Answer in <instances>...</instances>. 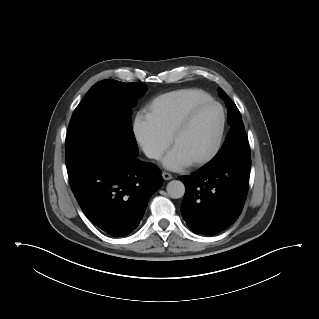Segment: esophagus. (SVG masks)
<instances>
[{"mask_svg":"<svg viewBox=\"0 0 319 319\" xmlns=\"http://www.w3.org/2000/svg\"><path fill=\"white\" fill-rule=\"evenodd\" d=\"M162 177L164 180H171L173 178V176L167 172H162Z\"/></svg>","mask_w":319,"mask_h":319,"instance_id":"obj_1","label":"esophagus"}]
</instances>
